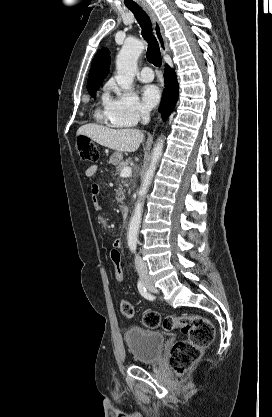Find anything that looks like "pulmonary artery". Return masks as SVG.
I'll return each instance as SVG.
<instances>
[{
  "mask_svg": "<svg viewBox=\"0 0 272 417\" xmlns=\"http://www.w3.org/2000/svg\"><path fill=\"white\" fill-rule=\"evenodd\" d=\"M153 78L154 74L150 67H143L138 73V79L142 82H151Z\"/></svg>",
  "mask_w": 272,
  "mask_h": 417,
  "instance_id": "obj_1",
  "label": "pulmonary artery"
}]
</instances>
